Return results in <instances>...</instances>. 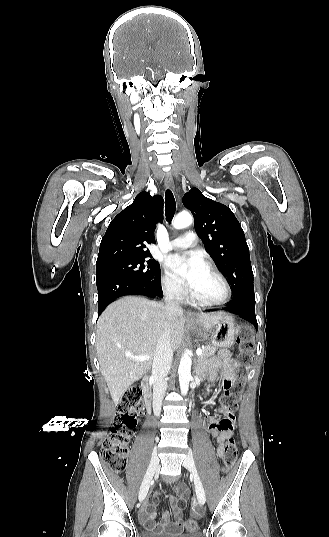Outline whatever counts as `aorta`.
<instances>
[{"mask_svg": "<svg viewBox=\"0 0 329 537\" xmlns=\"http://www.w3.org/2000/svg\"><path fill=\"white\" fill-rule=\"evenodd\" d=\"M193 222V217L187 212H181L172 221V225L175 229H183L190 226ZM191 352L185 350L179 364V384L182 395H186L189 389V381L191 378V365L192 359Z\"/></svg>", "mask_w": 329, "mask_h": 537, "instance_id": "1", "label": "aorta"}]
</instances>
